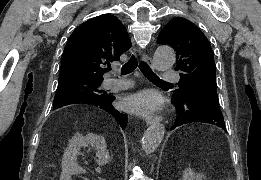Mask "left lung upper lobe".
Instances as JSON below:
<instances>
[{
    "label": "left lung upper lobe",
    "instance_id": "obj_1",
    "mask_svg": "<svg viewBox=\"0 0 261 180\" xmlns=\"http://www.w3.org/2000/svg\"><path fill=\"white\" fill-rule=\"evenodd\" d=\"M157 43L170 45L177 54L175 70L180 72V81L173 98H181L186 89H191L218 101L213 51L197 26L187 19L174 18L160 32Z\"/></svg>",
    "mask_w": 261,
    "mask_h": 180
}]
</instances>
